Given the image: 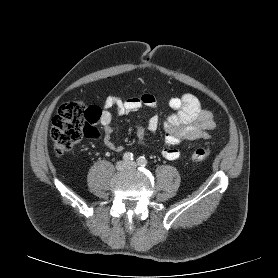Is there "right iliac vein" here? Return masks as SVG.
<instances>
[{"label":"right iliac vein","instance_id":"right-iliac-vein-1","mask_svg":"<svg viewBox=\"0 0 278 278\" xmlns=\"http://www.w3.org/2000/svg\"><path fill=\"white\" fill-rule=\"evenodd\" d=\"M128 165L125 161H119L116 163V169L118 171H123L125 169H127Z\"/></svg>","mask_w":278,"mask_h":278}]
</instances>
